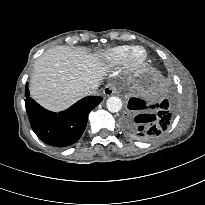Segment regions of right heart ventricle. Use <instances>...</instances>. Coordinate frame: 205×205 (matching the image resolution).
Returning a JSON list of instances; mask_svg holds the SVG:
<instances>
[{"mask_svg": "<svg viewBox=\"0 0 205 205\" xmlns=\"http://www.w3.org/2000/svg\"><path fill=\"white\" fill-rule=\"evenodd\" d=\"M132 47L129 45H118L102 51L99 59L106 65H116L126 57Z\"/></svg>", "mask_w": 205, "mask_h": 205, "instance_id": "right-heart-ventricle-1", "label": "right heart ventricle"}]
</instances>
